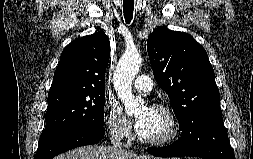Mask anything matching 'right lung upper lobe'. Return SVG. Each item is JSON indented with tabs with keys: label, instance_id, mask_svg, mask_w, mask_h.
Returning a JSON list of instances; mask_svg holds the SVG:
<instances>
[{
	"label": "right lung upper lobe",
	"instance_id": "cb5924a9",
	"mask_svg": "<svg viewBox=\"0 0 253 159\" xmlns=\"http://www.w3.org/2000/svg\"><path fill=\"white\" fill-rule=\"evenodd\" d=\"M110 42L104 31L73 40L62 52L48 98L105 90Z\"/></svg>",
	"mask_w": 253,
	"mask_h": 159
}]
</instances>
